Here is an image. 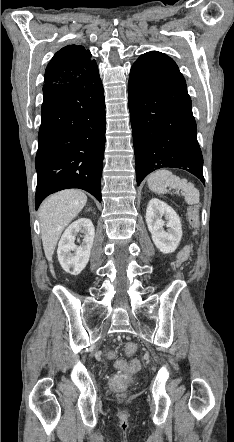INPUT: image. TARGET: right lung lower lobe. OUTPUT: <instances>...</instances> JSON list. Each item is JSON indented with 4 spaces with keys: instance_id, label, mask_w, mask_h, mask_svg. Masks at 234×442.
Masks as SVG:
<instances>
[{
    "instance_id": "right-lung-lower-lobe-1",
    "label": "right lung lower lobe",
    "mask_w": 234,
    "mask_h": 442,
    "mask_svg": "<svg viewBox=\"0 0 234 442\" xmlns=\"http://www.w3.org/2000/svg\"><path fill=\"white\" fill-rule=\"evenodd\" d=\"M35 167V207L50 194L79 188L101 201L105 100L97 65L66 83H46Z\"/></svg>"
}]
</instances>
